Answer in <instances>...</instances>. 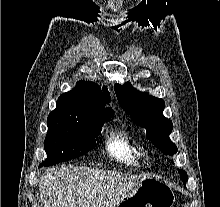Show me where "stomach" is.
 <instances>
[{
    "mask_svg": "<svg viewBox=\"0 0 220 207\" xmlns=\"http://www.w3.org/2000/svg\"><path fill=\"white\" fill-rule=\"evenodd\" d=\"M174 193L166 183L152 177H146L120 199L115 207H172Z\"/></svg>",
    "mask_w": 220,
    "mask_h": 207,
    "instance_id": "obj_1",
    "label": "stomach"
}]
</instances>
